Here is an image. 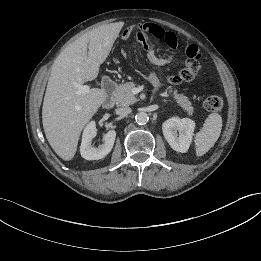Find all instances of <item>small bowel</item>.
I'll return each mask as SVG.
<instances>
[{
	"mask_svg": "<svg viewBox=\"0 0 261 261\" xmlns=\"http://www.w3.org/2000/svg\"><path fill=\"white\" fill-rule=\"evenodd\" d=\"M133 34L145 50L147 59L151 64L156 66H165L174 62L175 57L173 53H170L167 56L157 55L155 45L151 40V38H155L163 41L169 49L174 52L178 47L177 39L174 33L164 30L156 24L145 23L139 25L136 29L134 28V31L131 33L130 37ZM185 53L187 56L185 67L179 72L173 73L168 77L169 82L173 84H179L183 81H191L195 79L200 72L198 48L194 45L187 46ZM148 79L155 87L159 88L161 86L160 79L155 72H151L148 75Z\"/></svg>",
	"mask_w": 261,
	"mask_h": 261,
	"instance_id": "c3829d8e",
	"label": "small bowel"
}]
</instances>
